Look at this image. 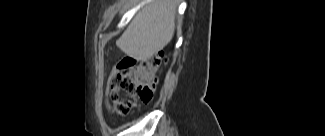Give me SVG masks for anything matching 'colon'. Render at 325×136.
Masks as SVG:
<instances>
[{"instance_id":"1","label":"colon","mask_w":325,"mask_h":136,"mask_svg":"<svg viewBox=\"0 0 325 136\" xmlns=\"http://www.w3.org/2000/svg\"><path fill=\"white\" fill-rule=\"evenodd\" d=\"M164 63L163 53L154 54L121 76L111 90L113 110L129 114L138 103L149 102L158 85V73Z\"/></svg>"}]
</instances>
